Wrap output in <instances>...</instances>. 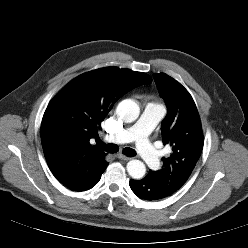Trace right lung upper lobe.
Wrapping results in <instances>:
<instances>
[{
    "label": "right lung upper lobe",
    "instance_id": "1",
    "mask_svg": "<svg viewBox=\"0 0 248 248\" xmlns=\"http://www.w3.org/2000/svg\"><path fill=\"white\" fill-rule=\"evenodd\" d=\"M142 72L106 67L69 82L49 103L41 124L47 164L59 182L73 189L107 166L105 153L90 144L115 102L131 89L151 83Z\"/></svg>",
    "mask_w": 248,
    "mask_h": 248
}]
</instances>
